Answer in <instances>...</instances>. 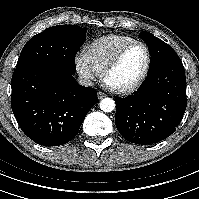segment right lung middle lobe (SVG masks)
I'll return each mask as SVG.
<instances>
[{"mask_svg":"<svg viewBox=\"0 0 199 199\" xmlns=\"http://www.w3.org/2000/svg\"><path fill=\"white\" fill-rule=\"evenodd\" d=\"M85 41L77 25H58L32 37L23 47L13 76L33 68L56 66L75 73V55Z\"/></svg>","mask_w":199,"mask_h":199,"instance_id":"right-lung-middle-lobe-1","label":"right lung middle lobe"}]
</instances>
